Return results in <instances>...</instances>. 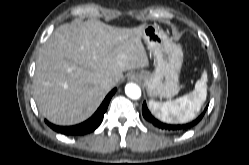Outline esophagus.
<instances>
[{"label": "esophagus", "mask_w": 249, "mask_h": 165, "mask_svg": "<svg viewBox=\"0 0 249 165\" xmlns=\"http://www.w3.org/2000/svg\"><path fill=\"white\" fill-rule=\"evenodd\" d=\"M131 78L134 79V75H132Z\"/></svg>", "instance_id": "esophagus-1"}]
</instances>
